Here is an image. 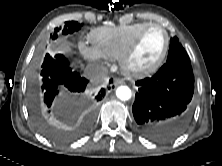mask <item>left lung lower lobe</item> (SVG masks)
<instances>
[{
	"instance_id": "left-lung-lower-lobe-1",
	"label": "left lung lower lobe",
	"mask_w": 222,
	"mask_h": 166,
	"mask_svg": "<svg viewBox=\"0 0 222 166\" xmlns=\"http://www.w3.org/2000/svg\"><path fill=\"white\" fill-rule=\"evenodd\" d=\"M136 85L132 111L144 137L167 142L185 131L194 93L190 61H167L154 76L139 80Z\"/></svg>"
}]
</instances>
